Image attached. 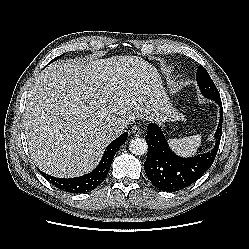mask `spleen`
Here are the masks:
<instances>
[{"mask_svg": "<svg viewBox=\"0 0 249 249\" xmlns=\"http://www.w3.org/2000/svg\"><path fill=\"white\" fill-rule=\"evenodd\" d=\"M169 144L177 154L188 157L196 154L201 144V136L193 135L179 139L174 138L169 140Z\"/></svg>", "mask_w": 249, "mask_h": 249, "instance_id": "obj_1", "label": "spleen"}]
</instances>
